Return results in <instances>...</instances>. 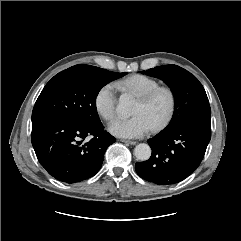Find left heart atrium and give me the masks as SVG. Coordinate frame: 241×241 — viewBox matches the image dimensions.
I'll list each match as a JSON object with an SVG mask.
<instances>
[{
	"label": "left heart atrium",
	"mask_w": 241,
	"mask_h": 241,
	"mask_svg": "<svg viewBox=\"0 0 241 241\" xmlns=\"http://www.w3.org/2000/svg\"><path fill=\"white\" fill-rule=\"evenodd\" d=\"M151 129V124L142 114L133 115L128 119H115L109 126V131L113 135L122 138L142 137Z\"/></svg>",
	"instance_id": "obj_1"
}]
</instances>
